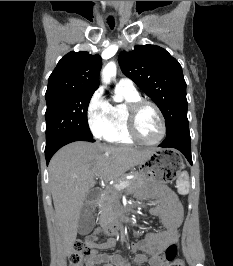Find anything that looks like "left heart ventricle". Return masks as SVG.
<instances>
[{
	"label": "left heart ventricle",
	"mask_w": 233,
	"mask_h": 266,
	"mask_svg": "<svg viewBox=\"0 0 233 266\" xmlns=\"http://www.w3.org/2000/svg\"><path fill=\"white\" fill-rule=\"evenodd\" d=\"M137 131L146 141L156 140L161 132V123L156 111L151 106H144L137 116Z\"/></svg>",
	"instance_id": "b2bd125f"
}]
</instances>
